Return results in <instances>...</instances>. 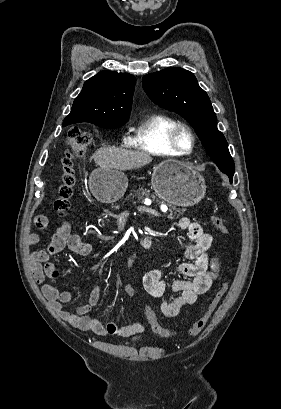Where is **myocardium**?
<instances>
[{
	"label": "myocardium",
	"mask_w": 281,
	"mask_h": 409,
	"mask_svg": "<svg viewBox=\"0 0 281 409\" xmlns=\"http://www.w3.org/2000/svg\"><path fill=\"white\" fill-rule=\"evenodd\" d=\"M172 144L180 155H190L195 149V135L189 127L182 125L174 131Z\"/></svg>",
	"instance_id": "myocardium-1"
}]
</instances>
